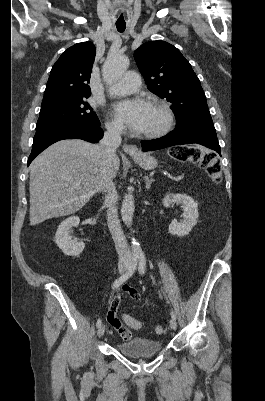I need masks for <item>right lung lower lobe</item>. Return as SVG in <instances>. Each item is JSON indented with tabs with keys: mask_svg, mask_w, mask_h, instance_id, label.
Returning a JSON list of instances; mask_svg holds the SVG:
<instances>
[{
	"mask_svg": "<svg viewBox=\"0 0 265 401\" xmlns=\"http://www.w3.org/2000/svg\"><path fill=\"white\" fill-rule=\"evenodd\" d=\"M102 137L103 130L100 126L93 125L61 123L36 128L32 152L28 158L27 164L29 165L39 153L59 140L82 139L97 143Z\"/></svg>",
	"mask_w": 265,
	"mask_h": 401,
	"instance_id": "1",
	"label": "right lung lower lobe"
}]
</instances>
